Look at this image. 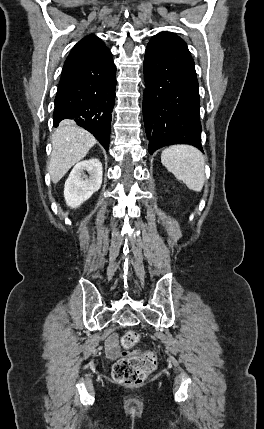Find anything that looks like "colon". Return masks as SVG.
I'll use <instances>...</instances> for the list:
<instances>
[{
  "instance_id": "obj_1",
  "label": "colon",
  "mask_w": 264,
  "mask_h": 429,
  "mask_svg": "<svg viewBox=\"0 0 264 429\" xmlns=\"http://www.w3.org/2000/svg\"><path fill=\"white\" fill-rule=\"evenodd\" d=\"M140 337L136 331H127L121 339L124 349L131 350L137 346ZM157 364L156 356L146 351L132 355H124L117 360L112 368L113 380L124 386H137L142 384Z\"/></svg>"
}]
</instances>
